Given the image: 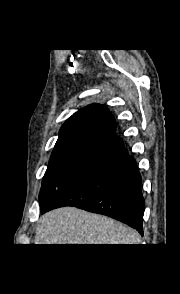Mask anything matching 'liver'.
I'll use <instances>...</instances> for the list:
<instances>
[{"label": "liver", "instance_id": "6515ba94", "mask_svg": "<svg viewBox=\"0 0 180 294\" xmlns=\"http://www.w3.org/2000/svg\"><path fill=\"white\" fill-rule=\"evenodd\" d=\"M134 229L108 217L64 207L43 215L35 244H139Z\"/></svg>", "mask_w": 180, "mask_h": 294}]
</instances>
